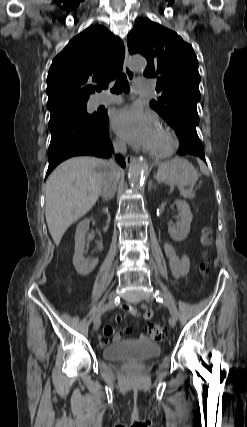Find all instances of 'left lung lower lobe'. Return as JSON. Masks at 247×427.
<instances>
[{"label": "left lung lower lobe", "instance_id": "left-lung-lower-lobe-1", "mask_svg": "<svg viewBox=\"0 0 247 427\" xmlns=\"http://www.w3.org/2000/svg\"><path fill=\"white\" fill-rule=\"evenodd\" d=\"M173 128L181 142L178 154L193 155L206 162L204 148L198 137L196 126L181 122L176 124Z\"/></svg>", "mask_w": 247, "mask_h": 427}]
</instances>
